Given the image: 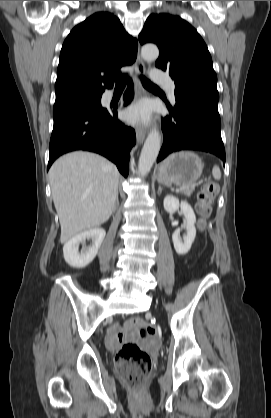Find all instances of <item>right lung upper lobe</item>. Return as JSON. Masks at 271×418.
I'll list each match as a JSON object with an SVG mask.
<instances>
[{
	"instance_id": "obj_1",
	"label": "right lung upper lobe",
	"mask_w": 271,
	"mask_h": 418,
	"mask_svg": "<svg viewBox=\"0 0 271 418\" xmlns=\"http://www.w3.org/2000/svg\"><path fill=\"white\" fill-rule=\"evenodd\" d=\"M137 40L111 13L97 12L65 39L57 69L56 101L101 96L113 86L122 66L137 56Z\"/></svg>"
}]
</instances>
